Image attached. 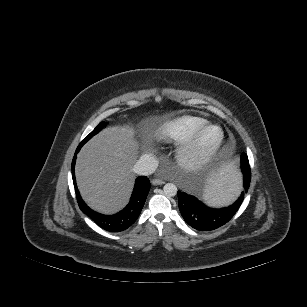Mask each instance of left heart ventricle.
Listing matches in <instances>:
<instances>
[{
	"label": "left heart ventricle",
	"instance_id": "1",
	"mask_svg": "<svg viewBox=\"0 0 307 307\" xmlns=\"http://www.w3.org/2000/svg\"><path fill=\"white\" fill-rule=\"evenodd\" d=\"M217 138V131L215 130H209L207 131L200 142L201 149L208 148Z\"/></svg>",
	"mask_w": 307,
	"mask_h": 307
}]
</instances>
